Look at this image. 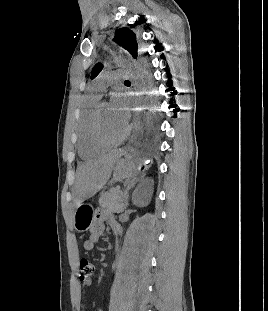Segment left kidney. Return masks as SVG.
<instances>
[{"mask_svg": "<svg viewBox=\"0 0 268 311\" xmlns=\"http://www.w3.org/2000/svg\"><path fill=\"white\" fill-rule=\"evenodd\" d=\"M153 180L146 178L144 179L134 191V198L133 203L136 206L144 207L148 205L149 201L151 200L152 193H153Z\"/></svg>", "mask_w": 268, "mask_h": 311, "instance_id": "5707ae66", "label": "left kidney"}]
</instances>
